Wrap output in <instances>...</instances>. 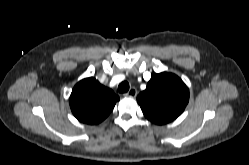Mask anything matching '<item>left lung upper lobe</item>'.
Masks as SVG:
<instances>
[{"label":"left lung upper lobe","instance_id":"left-lung-upper-lobe-1","mask_svg":"<svg viewBox=\"0 0 249 165\" xmlns=\"http://www.w3.org/2000/svg\"><path fill=\"white\" fill-rule=\"evenodd\" d=\"M189 101V90L175 74L162 72L151 76L147 87L137 96L145 117L157 125L175 120Z\"/></svg>","mask_w":249,"mask_h":165}]
</instances>
